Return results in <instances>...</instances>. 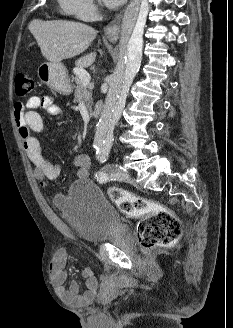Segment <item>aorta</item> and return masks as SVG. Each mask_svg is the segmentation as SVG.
<instances>
[{
    "instance_id": "1",
    "label": "aorta",
    "mask_w": 233,
    "mask_h": 328,
    "mask_svg": "<svg viewBox=\"0 0 233 328\" xmlns=\"http://www.w3.org/2000/svg\"><path fill=\"white\" fill-rule=\"evenodd\" d=\"M148 10V0H131L124 12L119 61L109 79V90L96 125L94 145L97 149L109 150L112 147L114 127L122 115L129 87L141 65Z\"/></svg>"
}]
</instances>
